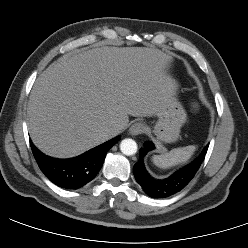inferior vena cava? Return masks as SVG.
Listing matches in <instances>:
<instances>
[{"label": "inferior vena cava", "instance_id": "inferior-vena-cava-1", "mask_svg": "<svg viewBox=\"0 0 248 248\" xmlns=\"http://www.w3.org/2000/svg\"><path fill=\"white\" fill-rule=\"evenodd\" d=\"M107 132L111 137H114L118 134L119 129L118 128H110L107 130Z\"/></svg>", "mask_w": 248, "mask_h": 248}]
</instances>
